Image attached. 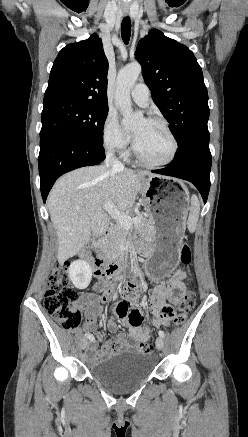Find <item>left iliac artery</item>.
<instances>
[{
  "label": "left iliac artery",
  "instance_id": "left-iliac-artery-1",
  "mask_svg": "<svg viewBox=\"0 0 248 437\" xmlns=\"http://www.w3.org/2000/svg\"><path fill=\"white\" fill-rule=\"evenodd\" d=\"M158 334H159V336L162 337V338L165 337V333H164L163 331H161V330L158 332Z\"/></svg>",
  "mask_w": 248,
  "mask_h": 437
}]
</instances>
